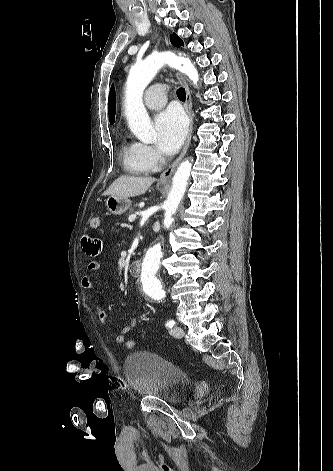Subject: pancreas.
<instances>
[{
  "mask_svg": "<svg viewBox=\"0 0 333 471\" xmlns=\"http://www.w3.org/2000/svg\"><path fill=\"white\" fill-rule=\"evenodd\" d=\"M135 206H136V205H134V207H135ZM133 211H134V208H130V209H129V214H131Z\"/></svg>",
  "mask_w": 333,
  "mask_h": 471,
  "instance_id": "pancreas-1",
  "label": "pancreas"
}]
</instances>
